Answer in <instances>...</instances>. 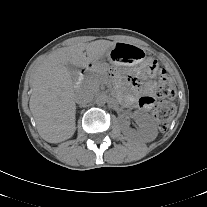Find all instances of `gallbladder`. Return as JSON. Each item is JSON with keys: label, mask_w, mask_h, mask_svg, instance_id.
<instances>
[{"label": "gallbladder", "mask_w": 207, "mask_h": 207, "mask_svg": "<svg viewBox=\"0 0 207 207\" xmlns=\"http://www.w3.org/2000/svg\"><path fill=\"white\" fill-rule=\"evenodd\" d=\"M66 67L72 76L77 74V68L74 65L69 63L66 65Z\"/></svg>", "instance_id": "gallbladder-1"}]
</instances>
